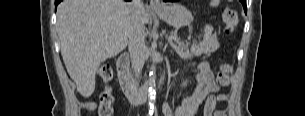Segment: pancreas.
Returning a JSON list of instances; mask_svg holds the SVG:
<instances>
[{
  "label": "pancreas",
  "mask_w": 305,
  "mask_h": 116,
  "mask_svg": "<svg viewBox=\"0 0 305 116\" xmlns=\"http://www.w3.org/2000/svg\"><path fill=\"white\" fill-rule=\"evenodd\" d=\"M171 37H173V40L177 43V45L173 44L174 49L178 55L184 59L191 58L192 56H200L210 52L207 47L198 45L196 41L192 43L191 50L189 51L188 47L190 44H185L184 42L180 41L176 34H172Z\"/></svg>",
  "instance_id": "1"
}]
</instances>
